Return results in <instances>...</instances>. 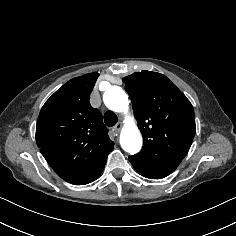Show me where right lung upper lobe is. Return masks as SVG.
<instances>
[{
  "instance_id": "obj_1",
  "label": "right lung upper lobe",
  "mask_w": 236,
  "mask_h": 236,
  "mask_svg": "<svg viewBox=\"0 0 236 236\" xmlns=\"http://www.w3.org/2000/svg\"><path fill=\"white\" fill-rule=\"evenodd\" d=\"M98 76L95 72L71 79L40 111L37 145L63 179L96 172L114 147L102 122V114L89 103Z\"/></svg>"
}]
</instances>
